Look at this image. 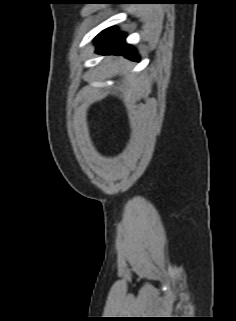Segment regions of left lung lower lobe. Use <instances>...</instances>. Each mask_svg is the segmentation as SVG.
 Instances as JSON below:
<instances>
[{
  "instance_id": "left-lung-lower-lobe-1",
  "label": "left lung lower lobe",
  "mask_w": 236,
  "mask_h": 321,
  "mask_svg": "<svg viewBox=\"0 0 236 321\" xmlns=\"http://www.w3.org/2000/svg\"><path fill=\"white\" fill-rule=\"evenodd\" d=\"M125 38L124 33L118 32L113 27L105 29L94 40L97 45L96 52L99 54L124 55L131 60L139 61L135 49L125 43Z\"/></svg>"
}]
</instances>
